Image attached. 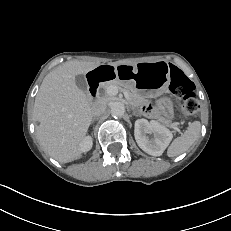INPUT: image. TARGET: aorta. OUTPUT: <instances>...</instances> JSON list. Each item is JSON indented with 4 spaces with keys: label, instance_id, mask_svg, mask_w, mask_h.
Segmentation results:
<instances>
[{
    "label": "aorta",
    "instance_id": "762f6f07",
    "mask_svg": "<svg viewBox=\"0 0 231 231\" xmlns=\"http://www.w3.org/2000/svg\"><path fill=\"white\" fill-rule=\"evenodd\" d=\"M110 109L113 117H121L125 113V105L120 101L111 103Z\"/></svg>",
    "mask_w": 231,
    "mask_h": 231
}]
</instances>
